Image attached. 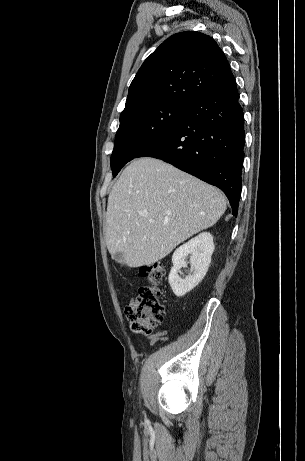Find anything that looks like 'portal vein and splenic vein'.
<instances>
[{"mask_svg":"<svg viewBox=\"0 0 305 461\" xmlns=\"http://www.w3.org/2000/svg\"><path fill=\"white\" fill-rule=\"evenodd\" d=\"M143 216H144V217H146L147 215H146V214H144Z\"/></svg>","mask_w":305,"mask_h":461,"instance_id":"18ae733b","label":"portal vein and splenic vein"}]
</instances>
